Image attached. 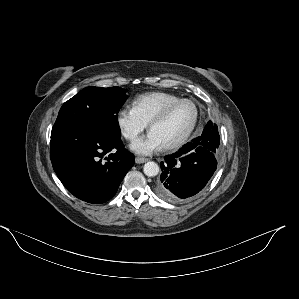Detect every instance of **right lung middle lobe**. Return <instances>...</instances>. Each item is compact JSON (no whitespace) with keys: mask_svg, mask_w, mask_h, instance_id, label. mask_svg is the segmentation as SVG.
<instances>
[{"mask_svg":"<svg viewBox=\"0 0 299 299\" xmlns=\"http://www.w3.org/2000/svg\"><path fill=\"white\" fill-rule=\"evenodd\" d=\"M126 99V90L120 87L84 88L62 105L51 138L75 131L120 137L116 114Z\"/></svg>","mask_w":299,"mask_h":299,"instance_id":"dd1d6c3e","label":"right lung middle lobe"}]
</instances>
